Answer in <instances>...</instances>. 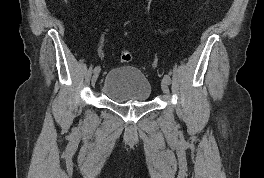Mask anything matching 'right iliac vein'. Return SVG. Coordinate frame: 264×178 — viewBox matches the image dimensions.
<instances>
[{
	"mask_svg": "<svg viewBox=\"0 0 264 178\" xmlns=\"http://www.w3.org/2000/svg\"><path fill=\"white\" fill-rule=\"evenodd\" d=\"M99 73H94L93 77H92V85H95L97 79H98Z\"/></svg>",
	"mask_w": 264,
	"mask_h": 178,
	"instance_id": "right-iliac-vein-1",
	"label": "right iliac vein"
}]
</instances>
